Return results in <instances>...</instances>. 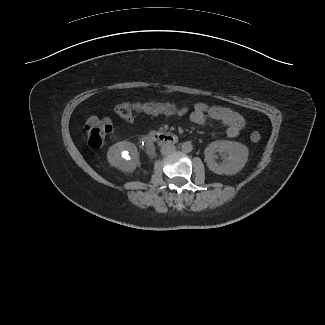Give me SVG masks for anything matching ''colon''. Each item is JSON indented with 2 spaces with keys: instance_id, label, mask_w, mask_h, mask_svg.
Instances as JSON below:
<instances>
[{
  "instance_id": "1",
  "label": "colon",
  "mask_w": 325,
  "mask_h": 325,
  "mask_svg": "<svg viewBox=\"0 0 325 325\" xmlns=\"http://www.w3.org/2000/svg\"><path fill=\"white\" fill-rule=\"evenodd\" d=\"M116 114L126 120L131 121L135 114H145L149 116L181 117L184 109L181 104L166 101H146V102H123L115 109ZM112 130V123L109 119L90 117L85 124V132L88 145L92 148H99L105 141L106 136ZM261 135L257 131L250 134L252 142H258Z\"/></svg>"
}]
</instances>
